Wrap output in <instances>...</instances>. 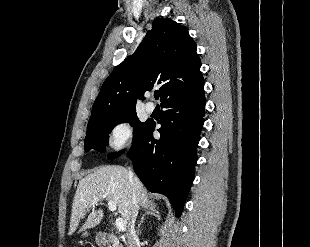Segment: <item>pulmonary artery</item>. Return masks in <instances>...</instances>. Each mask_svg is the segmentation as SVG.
<instances>
[{"instance_id": "1", "label": "pulmonary artery", "mask_w": 310, "mask_h": 247, "mask_svg": "<svg viewBox=\"0 0 310 247\" xmlns=\"http://www.w3.org/2000/svg\"><path fill=\"white\" fill-rule=\"evenodd\" d=\"M145 110H146L148 113H152V112L155 110V105H154V103L151 102V101L146 102V104H145Z\"/></svg>"}]
</instances>
